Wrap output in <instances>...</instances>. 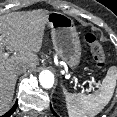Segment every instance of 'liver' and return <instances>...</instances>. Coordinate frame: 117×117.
<instances>
[{"label":"liver","instance_id":"obj_1","mask_svg":"<svg viewBox=\"0 0 117 117\" xmlns=\"http://www.w3.org/2000/svg\"><path fill=\"white\" fill-rule=\"evenodd\" d=\"M47 14L34 10L0 17V116L12 102L18 68L34 69L38 64L36 53L42 46ZM5 47L15 54L5 57Z\"/></svg>","mask_w":117,"mask_h":117}]
</instances>
